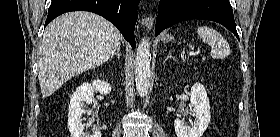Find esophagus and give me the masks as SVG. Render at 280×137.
<instances>
[{
  "mask_svg": "<svg viewBox=\"0 0 280 137\" xmlns=\"http://www.w3.org/2000/svg\"><path fill=\"white\" fill-rule=\"evenodd\" d=\"M141 22L148 29H152V27L154 25V17L148 16V17L142 18Z\"/></svg>",
  "mask_w": 280,
  "mask_h": 137,
  "instance_id": "1",
  "label": "esophagus"
}]
</instances>
